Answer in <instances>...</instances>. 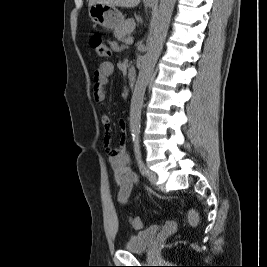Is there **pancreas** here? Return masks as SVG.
<instances>
[{
  "mask_svg": "<svg viewBox=\"0 0 267 267\" xmlns=\"http://www.w3.org/2000/svg\"><path fill=\"white\" fill-rule=\"evenodd\" d=\"M136 26L134 19H128L124 21V23L121 25V27L115 31V36L119 40H125L127 36H130V34L134 31Z\"/></svg>",
  "mask_w": 267,
  "mask_h": 267,
  "instance_id": "pancreas-1",
  "label": "pancreas"
}]
</instances>
